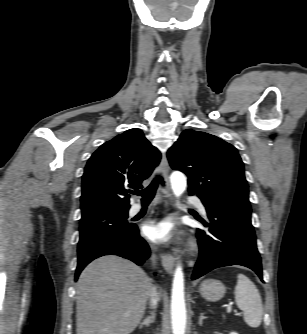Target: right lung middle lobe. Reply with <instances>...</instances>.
<instances>
[{
	"label": "right lung middle lobe",
	"mask_w": 307,
	"mask_h": 334,
	"mask_svg": "<svg viewBox=\"0 0 307 334\" xmlns=\"http://www.w3.org/2000/svg\"><path fill=\"white\" fill-rule=\"evenodd\" d=\"M128 212L102 211L82 216L78 254L94 244L113 239H123L136 228L127 222Z\"/></svg>",
	"instance_id": "dd1d6c3e"
}]
</instances>
